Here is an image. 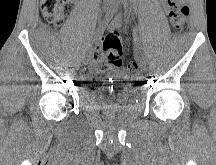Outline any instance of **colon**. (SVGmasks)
<instances>
[{"label": "colon", "instance_id": "1", "mask_svg": "<svg viewBox=\"0 0 216 165\" xmlns=\"http://www.w3.org/2000/svg\"><path fill=\"white\" fill-rule=\"evenodd\" d=\"M169 7L171 27L173 31L178 32L184 27L189 8L184 0H169ZM71 9L72 0H41V12L44 19L54 26H60ZM95 59L101 69L123 66V48L118 31H111L104 37L102 51L96 54ZM127 68L130 73H136L138 70L136 63H130Z\"/></svg>", "mask_w": 216, "mask_h": 165}]
</instances>
